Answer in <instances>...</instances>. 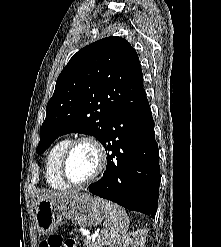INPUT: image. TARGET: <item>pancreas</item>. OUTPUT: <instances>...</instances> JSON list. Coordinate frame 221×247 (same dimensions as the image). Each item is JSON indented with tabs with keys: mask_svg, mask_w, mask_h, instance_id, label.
I'll use <instances>...</instances> for the list:
<instances>
[{
	"mask_svg": "<svg viewBox=\"0 0 221 247\" xmlns=\"http://www.w3.org/2000/svg\"><path fill=\"white\" fill-rule=\"evenodd\" d=\"M84 245L86 247H100L99 244H98V242H94L91 239H85L84 240Z\"/></svg>",
	"mask_w": 221,
	"mask_h": 247,
	"instance_id": "1",
	"label": "pancreas"
}]
</instances>
